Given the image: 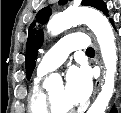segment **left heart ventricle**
<instances>
[{
	"label": "left heart ventricle",
	"instance_id": "b2bd125f",
	"mask_svg": "<svg viewBox=\"0 0 121 113\" xmlns=\"http://www.w3.org/2000/svg\"><path fill=\"white\" fill-rule=\"evenodd\" d=\"M54 103L60 111H65L72 107V104L68 101L65 88L63 85H57L50 91Z\"/></svg>",
	"mask_w": 121,
	"mask_h": 113
}]
</instances>
